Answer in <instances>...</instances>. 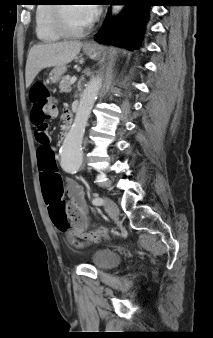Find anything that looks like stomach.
<instances>
[{"label": "stomach", "instance_id": "stomach-1", "mask_svg": "<svg viewBox=\"0 0 213 338\" xmlns=\"http://www.w3.org/2000/svg\"><path fill=\"white\" fill-rule=\"evenodd\" d=\"M83 52H84L87 56H89L90 58H93V59L99 57V55H100V50H99V47H98V46H91V47H88V46L85 45V46L83 47ZM65 72H66V66H65V65L55 67V68L50 72L48 81H49L50 83H53V84L57 83V82L61 79L62 75H63Z\"/></svg>", "mask_w": 213, "mask_h": 338}]
</instances>
